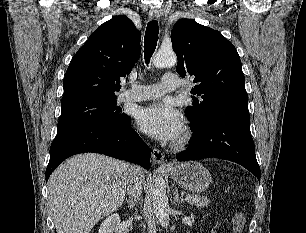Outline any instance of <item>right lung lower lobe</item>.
I'll return each mask as SVG.
<instances>
[{
  "label": "right lung lower lobe",
  "instance_id": "right-lung-lower-lobe-1",
  "mask_svg": "<svg viewBox=\"0 0 306 233\" xmlns=\"http://www.w3.org/2000/svg\"><path fill=\"white\" fill-rule=\"evenodd\" d=\"M130 124V117H128L119 125L93 122L57 133L50 147L46 181L63 160L84 152L113 156L148 169L151 151L140 136L130 128Z\"/></svg>",
  "mask_w": 306,
  "mask_h": 233
}]
</instances>
